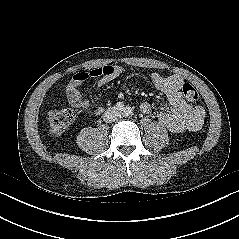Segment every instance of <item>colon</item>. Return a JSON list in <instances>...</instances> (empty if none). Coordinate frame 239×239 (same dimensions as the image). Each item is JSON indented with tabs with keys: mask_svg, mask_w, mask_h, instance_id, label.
<instances>
[{
	"mask_svg": "<svg viewBox=\"0 0 239 239\" xmlns=\"http://www.w3.org/2000/svg\"><path fill=\"white\" fill-rule=\"evenodd\" d=\"M182 94L191 103L199 101V93L190 83H184L182 86ZM74 113L68 109L52 110L47 115L49 132L52 135H60L73 122Z\"/></svg>",
	"mask_w": 239,
	"mask_h": 239,
	"instance_id": "colon-1",
	"label": "colon"
}]
</instances>
